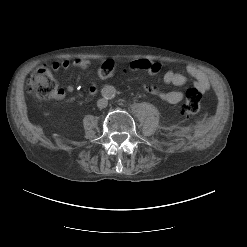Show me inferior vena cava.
I'll return each mask as SVG.
<instances>
[{
	"label": "inferior vena cava",
	"mask_w": 247,
	"mask_h": 247,
	"mask_svg": "<svg viewBox=\"0 0 247 247\" xmlns=\"http://www.w3.org/2000/svg\"><path fill=\"white\" fill-rule=\"evenodd\" d=\"M107 105H108V101H107L106 99H104V98L99 99V100L97 101V106H98V108H100V109L106 108Z\"/></svg>",
	"instance_id": "1"
}]
</instances>
